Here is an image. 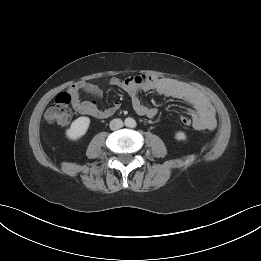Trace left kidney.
I'll return each instance as SVG.
<instances>
[{
    "mask_svg": "<svg viewBox=\"0 0 261 261\" xmlns=\"http://www.w3.org/2000/svg\"><path fill=\"white\" fill-rule=\"evenodd\" d=\"M175 138L177 139V140H186V134L184 133V132H182V131H178V132H176V134H175Z\"/></svg>",
    "mask_w": 261,
    "mask_h": 261,
    "instance_id": "1",
    "label": "left kidney"
}]
</instances>
